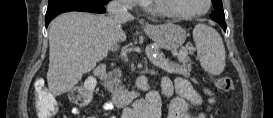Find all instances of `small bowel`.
<instances>
[{
  "label": "small bowel",
  "mask_w": 273,
  "mask_h": 118,
  "mask_svg": "<svg viewBox=\"0 0 273 118\" xmlns=\"http://www.w3.org/2000/svg\"><path fill=\"white\" fill-rule=\"evenodd\" d=\"M161 89L163 95L170 99L167 118H193L191 108L201 104V95L192 86V84L183 77H177L174 81L168 77L161 79ZM176 93V96H173ZM207 97L208 109L215 101L212 92L208 90L203 91ZM109 105L104 106V110H108ZM139 112L145 115L146 118H161V100L157 95L149 98L148 106H140ZM73 115H81L82 110L75 107L72 109Z\"/></svg>",
  "instance_id": "c3829d8e"
}]
</instances>
